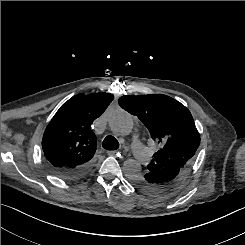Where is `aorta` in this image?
Wrapping results in <instances>:
<instances>
[{"instance_id":"obj_1","label":"aorta","mask_w":245,"mask_h":245,"mask_svg":"<svg viewBox=\"0 0 245 245\" xmlns=\"http://www.w3.org/2000/svg\"><path fill=\"white\" fill-rule=\"evenodd\" d=\"M108 125L113 134L117 136H127L132 132L133 119L129 113L118 109L109 117ZM141 170L140 162L135 159H127L123 164V172L130 180L140 176Z\"/></svg>"}]
</instances>
